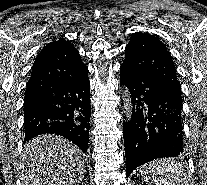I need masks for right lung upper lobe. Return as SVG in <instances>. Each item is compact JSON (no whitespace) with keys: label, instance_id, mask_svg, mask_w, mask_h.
Listing matches in <instances>:
<instances>
[{"label":"right lung upper lobe","instance_id":"1","mask_svg":"<svg viewBox=\"0 0 207 185\" xmlns=\"http://www.w3.org/2000/svg\"><path fill=\"white\" fill-rule=\"evenodd\" d=\"M87 72V66L71 42L63 38L55 40L44 47L35 59L25 98L77 79Z\"/></svg>","mask_w":207,"mask_h":185}]
</instances>
